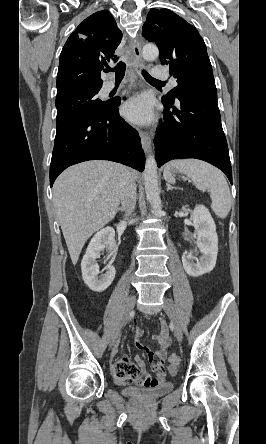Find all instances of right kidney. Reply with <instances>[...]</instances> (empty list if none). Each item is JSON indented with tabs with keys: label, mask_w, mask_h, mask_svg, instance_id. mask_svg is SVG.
Segmentation results:
<instances>
[{
	"label": "right kidney",
	"mask_w": 266,
	"mask_h": 444,
	"mask_svg": "<svg viewBox=\"0 0 266 444\" xmlns=\"http://www.w3.org/2000/svg\"><path fill=\"white\" fill-rule=\"evenodd\" d=\"M105 249L109 253L108 257L114 256L118 250L115 242V231L112 227H106L93 236L81 262L83 280L95 292L106 290L111 285L116 274L115 268L110 263L105 268V274L101 277L98 276L99 266L96 263V259L100 257L101 252Z\"/></svg>",
	"instance_id": "ca27d5eb"
}]
</instances>
